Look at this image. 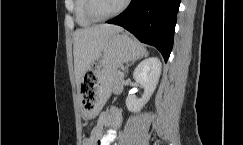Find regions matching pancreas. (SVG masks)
I'll return each instance as SVG.
<instances>
[{
    "instance_id": "1",
    "label": "pancreas",
    "mask_w": 243,
    "mask_h": 145,
    "mask_svg": "<svg viewBox=\"0 0 243 145\" xmlns=\"http://www.w3.org/2000/svg\"><path fill=\"white\" fill-rule=\"evenodd\" d=\"M114 84L117 89H120L123 86V76L120 75L119 71H116L114 74Z\"/></svg>"
}]
</instances>
